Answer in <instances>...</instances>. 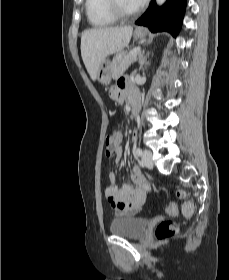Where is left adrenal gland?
Returning <instances> with one entry per match:
<instances>
[{
    "instance_id": "left-adrenal-gland-1",
    "label": "left adrenal gland",
    "mask_w": 229,
    "mask_h": 280,
    "mask_svg": "<svg viewBox=\"0 0 229 280\" xmlns=\"http://www.w3.org/2000/svg\"><path fill=\"white\" fill-rule=\"evenodd\" d=\"M146 59H147L146 57L141 55V57H140V68H139L140 70L143 68V65H144Z\"/></svg>"
}]
</instances>
